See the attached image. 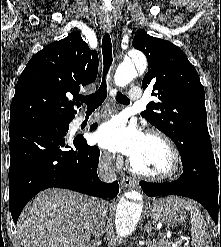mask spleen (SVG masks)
I'll return each instance as SVG.
<instances>
[{
	"label": "spleen",
	"mask_w": 221,
	"mask_h": 247,
	"mask_svg": "<svg viewBox=\"0 0 221 247\" xmlns=\"http://www.w3.org/2000/svg\"><path fill=\"white\" fill-rule=\"evenodd\" d=\"M185 206L190 210L192 246L212 247V243L209 240V234L206 232L207 224L205 219L191 203L186 202Z\"/></svg>",
	"instance_id": "1"
}]
</instances>
